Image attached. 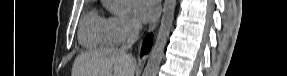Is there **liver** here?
<instances>
[{"label":"liver","mask_w":287,"mask_h":76,"mask_svg":"<svg viewBox=\"0 0 287 76\" xmlns=\"http://www.w3.org/2000/svg\"><path fill=\"white\" fill-rule=\"evenodd\" d=\"M133 59L118 49L106 48L76 58L72 76H134Z\"/></svg>","instance_id":"liver-1"}]
</instances>
